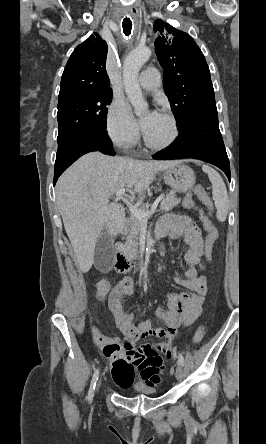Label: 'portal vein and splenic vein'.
<instances>
[{
  "instance_id": "18ae733b",
  "label": "portal vein and splenic vein",
  "mask_w": 266,
  "mask_h": 444,
  "mask_svg": "<svg viewBox=\"0 0 266 444\" xmlns=\"http://www.w3.org/2000/svg\"><path fill=\"white\" fill-rule=\"evenodd\" d=\"M125 188L118 190L115 195L117 198L119 199H123V196L125 194ZM163 199V195H160L155 202L152 204L151 209L144 211L140 208H138L136 205H133L130 201H128L127 199H123L124 203H126L129 206V209L131 211V213L137 217L140 220H147L152 213H154V211L156 210L159 202Z\"/></svg>"
}]
</instances>
